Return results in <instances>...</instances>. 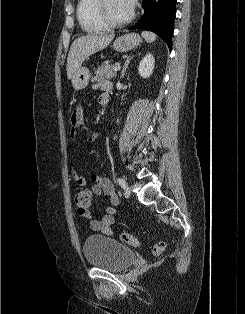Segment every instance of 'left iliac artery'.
<instances>
[{"label": "left iliac artery", "instance_id": "obj_1", "mask_svg": "<svg viewBox=\"0 0 245 314\" xmlns=\"http://www.w3.org/2000/svg\"><path fill=\"white\" fill-rule=\"evenodd\" d=\"M116 181L123 189L127 186L125 179L121 177H118Z\"/></svg>", "mask_w": 245, "mask_h": 314}]
</instances>
